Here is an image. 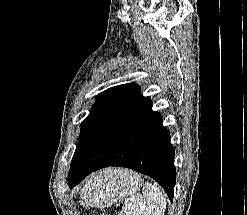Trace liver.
I'll use <instances>...</instances> for the list:
<instances>
[{"label": "liver", "instance_id": "6515ba94", "mask_svg": "<svg viewBox=\"0 0 247 215\" xmlns=\"http://www.w3.org/2000/svg\"><path fill=\"white\" fill-rule=\"evenodd\" d=\"M107 172L108 173L116 172V170L115 169H108ZM118 172H120L121 174H123V173L126 174V170H119Z\"/></svg>", "mask_w": 247, "mask_h": 215}]
</instances>
